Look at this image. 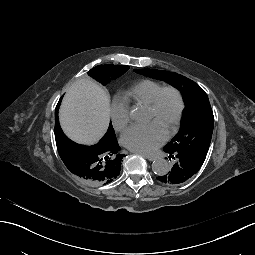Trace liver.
Listing matches in <instances>:
<instances>
[{
	"label": "liver",
	"instance_id": "obj_1",
	"mask_svg": "<svg viewBox=\"0 0 255 255\" xmlns=\"http://www.w3.org/2000/svg\"><path fill=\"white\" fill-rule=\"evenodd\" d=\"M110 113L108 92L96 82L80 78L66 91L59 120L64 133L71 140L93 145L107 131Z\"/></svg>",
	"mask_w": 255,
	"mask_h": 255
}]
</instances>
